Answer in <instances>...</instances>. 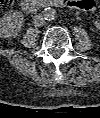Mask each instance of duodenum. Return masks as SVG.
Wrapping results in <instances>:
<instances>
[{"label":"duodenum","instance_id":"1","mask_svg":"<svg viewBox=\"0 0 100 118\" xmlns=\"http://www.w3.org/2000/svg\"><path fill=\"white\" fill-rule=\"evenodd\" d=\"M68 4L67 0H24L22 9L24 12L31 13L40 8L62 7Z\"/></svg>","mask_w":100,"mask_h":118}]
</instances>
